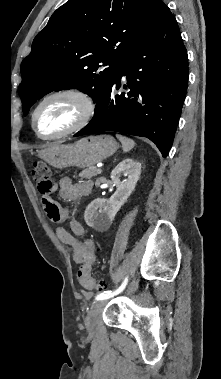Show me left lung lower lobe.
<instances>
[{
  "label": "left lung lower lobe",
  "instance_id": "1",
  "mask_svg": "<svg viewBox=\"0 0 221 379\" xmlns=\"http://www.w3.org/2000/svg\"><path fill=\"white\" fill-rule=\"evenodd\" d=\"M126 76L128 93H117ZM188 85V56L175 17L165 5L148 34L107 80L89 124L74 136L117 131L170 150Z\"/></svg>",
  "mask_w": 221,
  "mask_h": 379
}]
</instances>
